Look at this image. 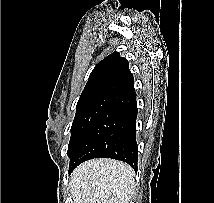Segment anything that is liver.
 <instances>
[{"label": "liver", "instance_id": "1", "mask_svg": "<svg viewBox=\"0 0 214 203\" xmlns=\"http://www.w3.org/2000/svg\"><path fill=\"white\" fill-rule=\"evenodd\" d=\"M70 184L73 203H129L135 172L121 161L93 159L74 170Z\"/></svg>", "mask_w": 214, "mask_h": 203}]
</instances>
